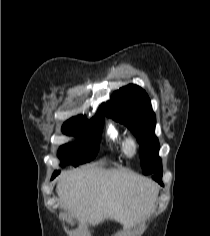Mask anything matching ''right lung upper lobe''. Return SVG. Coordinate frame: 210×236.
<instances>
[{"mask_svg": "<svg viewBox=\"0 0 210 236\" xmlns=\"http://www.w3.org/2000/svg\"><path fill=\"white\" fill-rule=\"evenodd\" d=\"M98 112H104V105H101Z\"/></svg>", "mask_w": 210, "mask_h": 236, "instance_id": "right-lung-upper-lobe-1", "label": "right lung upper lobe"}]
</instances>
